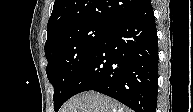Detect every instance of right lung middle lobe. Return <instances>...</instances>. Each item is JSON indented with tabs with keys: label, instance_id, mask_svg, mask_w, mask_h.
<instances>
[{
	"label": "right lung middle lobe",
	"instance_id": "1",
	"mask_svg": "<svg viewBox=\"0 0 193 112\" xmlns=\"http://www.w3.org/2000/svg\"><path fill=\"white\" fill-rule=\"evenodd\" d=\"M108 28L96 23L75 24L60 30L46 41V71L55 89V111L68 100L70 88L79 70Z\"/></svg>",
	"mask_w": 193,
	"mask_h": 112
}]
</instances>
